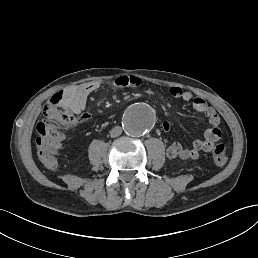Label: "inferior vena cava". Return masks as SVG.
I'll return each mask as SVG.
<instances>
[{"label": "inferior vena cava", "instance_id": "obj_1", "mask_svg": "<svg viewBox=\"0 0 258 258\" xmlns=\"http://www.w3.org/2000/svg\"><path fill=\"white\" fill-rule=\"evenodd\" d=\"M122 133V128L120 126H115L111 131H110V136L112 138L120 136Z\"/></svg>", "mask_w": 258, "mask_h": 258}]
</instances>
